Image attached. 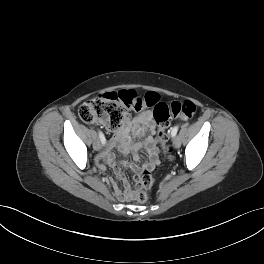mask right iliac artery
<instances>
[{
    "label": "right iliac artery",
    "mask_w": 264,
    "mask_h": 264,
    "mask_svg": "<svg viewBox=\"0 0 264 264\" xmlns=\"http://www.w3.org/2000/svg\"><path fill=\"white\" fill-rule=\"evenodd\" d=\"M99 137H100L101 143L103 145H105L106 139H105V136H104V134L102 132H99Z\"/></svg>",
    "instance_id": "obj_1"
}]
</instances>
